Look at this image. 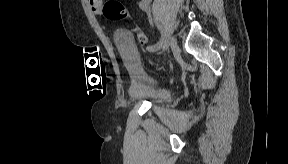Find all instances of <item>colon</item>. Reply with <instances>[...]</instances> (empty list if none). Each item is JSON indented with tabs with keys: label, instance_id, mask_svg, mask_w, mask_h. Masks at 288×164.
I'll use <instances>...</instances> for the list:
<instances>
[{
	"label": "colon",
	"instance_id": "5ec220e1",
	"mask_svg": "<svg viewBox=\"0 0 288 164\" xmlns=\"http://www.w3.org/2000/svg\"><path fill=\"white\" fill-rule=\"evenodd\" d=\"M104 13L110 20L128 19L129 13L121 2L117 0L109 1L104 6ZM137 39L140 42V46H146L148 44V37L145 33L138 28L134 29Z\"/></svg>",
	"mask_w": 288,
	"mask_h": 164
}]
</instances>
